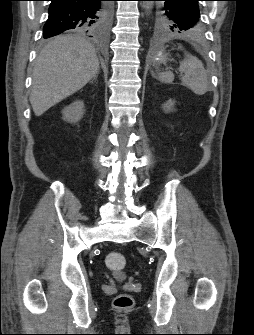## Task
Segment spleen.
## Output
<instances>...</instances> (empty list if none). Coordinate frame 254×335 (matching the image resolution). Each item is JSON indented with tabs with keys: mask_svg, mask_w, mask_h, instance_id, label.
Instances as JSON below:
<instances>
[{
	"mask_svg": "<svg viewBox=\"0 0 254 335\" xmlns=\"http://www.w3.org/2000/svg\"><path fill=\"white\" fill-rule=\"evenodd\" d=\"M181 75V82L196 95H203L208 91L209 81L207 72L202 62L192 55H185L184 60L178 68ZM159 79L165 83H171L174 80V74L171 71L159 72Z\"/></svg>",
	"mask_w": 254,
	"mask_h": 335,
	"instance_id": "1",
	"label": "spleen"
}]
</instances>
